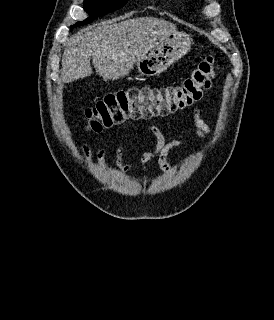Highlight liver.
<instances>
[{
	"label": "liver",
	"mask_w": 274,
	"mask_h": 320,
	"mask_svg": "<svg viewBox=\"0 0 274 320\" xmlns=\"http://www.w3.org/2000/svg\"><path fill=\"white\" fill-rule=\"evenodd\" d=\"M176 32V26L159 18H133L125 22H101L83 28L70 38L62 58L63 82L92 74L91 62L103 80L128 76L135 62Z\"/></svg>",
	"instance_id": "liver-1"
}]
</instances>
